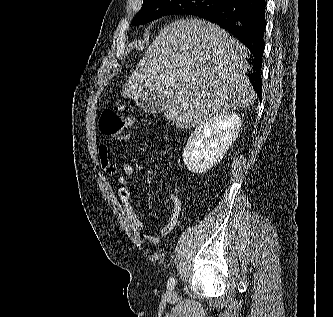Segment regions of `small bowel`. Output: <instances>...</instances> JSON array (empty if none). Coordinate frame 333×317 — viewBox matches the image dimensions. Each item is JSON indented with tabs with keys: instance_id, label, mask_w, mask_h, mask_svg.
Returning a JSON list of instances; mask_svg holds the SVG:
<instances>
[{
	"instance_id": "c3829d8e",
	"label": "small bowel",
	"mask_w": 333,
	"mask_h": 317,
	"mask_svg": "<svg viewBox=\"0 0 333 317\" xmlns=\"http://www.w3.org/2000/svg\"><path fill=\"white\" fill-rule=\"evenodd\" d=\"M131 139L130 134H123L119 136V140L128 141ZM99 160L100 165L104 172L108 175H116L118 172L117 166L112 162L109 154L108 147L105 144H101L99 147ZM123 175L117 180V195L119 200L123 204V210L126 218L132 224V226L150 243H158L160 240L168 235L178 224L180 212H181V200L176 189L171 190L168 194L170 202L172 204V213L170 219L164 227L158 233H150L146 230L143 221L137 215V212L131 201V193L128 188V180L134 173L133 165L130 162H125L122 167Z\"/></svg>"
}]
</instances>
